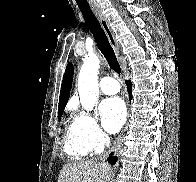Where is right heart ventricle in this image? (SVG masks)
I'll use <instances>...</instances> for the list:
<instances>
[{"instance_id": "1", "label": "right heart ventricle", "mask_w": 196, "mask_h": 182, "mask_svg": "<svg viewBox=\"0 0 196 182\" xmlns=\"http://www.w3.org/2000/svg\"><path fill=\"white\" fill-rule=\"evenodd\" d=\"M64 149L66 154L73 160H81L89 153L79 138L74 122L65 131Z\"/></svg>"}]
</instances>
